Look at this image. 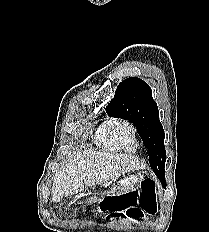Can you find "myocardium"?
Segmentation results:
<instances>
[{"instance_id": "1", "label": "myocardium", "mask_w": 209, "mask_h": 232, "mask_svg": "<svg viewBox=\"0 0 209 232\" xmlns=\"http://www.w3.org/2000/svg\"><path fill=\"white\" fill-rule=\"evenodd\" d=\"M121 128H127L131 131L133 141H136V128L134 124L130 121L127 120H118L112 127V137L114 142L122 149L125 151H134L136 148V145L133 149H128L126 148L123 143L121 142L119 136H118V130Z\"/></svg>"}]
</instances>
